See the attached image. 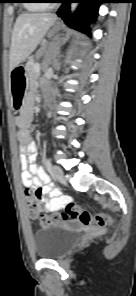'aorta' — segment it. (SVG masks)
<instances>
[{"label":"aorta","instance_id":"1","mask_svg":"<svg viewBox=\"0 0 136 296\" xmlns=\"http://www.w3.org/2000/svg\"><path fill=\"white\" fill-rule=\"evenodd\" d=\"M77 8V3H71V12L73 13Z\"/></svg>","mask_w":136,"mask_h":296}]
</instances>
